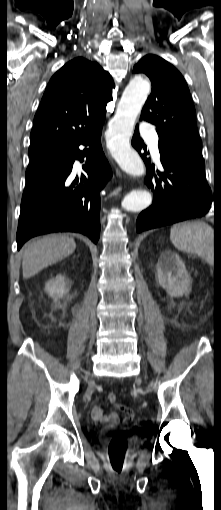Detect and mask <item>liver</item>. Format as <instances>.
Listing matches in <instances>:
<instances>
[{"label":"liver","mask_w":221,"mask_h":510,"mask_svg":"<svg viewBox=\"0 0 221 510\" xmlns=\"http://www.w3.org/2000/svg\"><path fill=\"white\" fill-rule=\"evenodd\" d=\"M76 249L73 238L53 234L26 243L21 251L24 279H28L44 268L66 258Z\"/></svg>","instance_id":"liver-1"}]
</instances>
